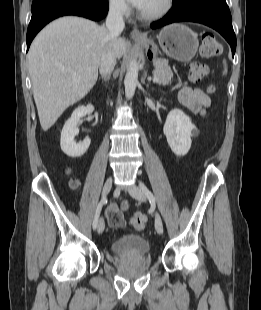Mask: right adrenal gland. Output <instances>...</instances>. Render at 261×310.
Wrapping results in <instances>:
<instances>
[{"label":"right adrenal gland","mask_w":261,"mask_h":310,"mask_svg":"<svg viewBox=\"0 0 261 310\" xmlns=\"http://www.w3.org/2000/svg\"><path fill=\"white\" fill-rule=\"evenodd\" d=\"M102 79H104V81H106L108 79V77H102Z\"/></svg>","instance_id":"1"}]
</instances>
